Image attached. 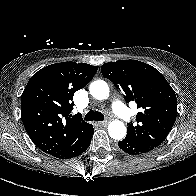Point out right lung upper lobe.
Returning a JSON list of instances; mask_svg holds the SVG:
<instances>
[{"label":"right lung upper lobe","instance_id":"cb5924a9","mask_svg":"<svg viewBox=\"0 0 196 196\" xmlns=\"http://www.w3.org/2000/svg\"><path fill=\"white\" fill-rule=\"evenodd\" d=\"M98 67L62 62L46 66L29 80L21 97V119L33 143L54 154L73 143L91 124L72 116L74 93L87 85Z\"/></svg>","mask_w":196,"mask_h":196}]
</instances>
